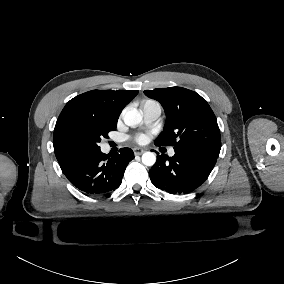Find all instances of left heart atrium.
I'll use <instances>...</instances> for the list:
<instances>
[{
  "label": "left heart atrium",
  "instance_id": "1",
  "mask_svg": "<svg viewBox=\"0 0 284 284\" xmlns=\"http://www.w3.org/2000/svg\"><path fill=\"white\" fill-rule=\"evenodd\" d=\"M135 141L139 144H144L147 141V135L139 134L135 137Z\"/></svg>",
  "mask_w": 284,
  "mask_h": 284
}]
</instances>
